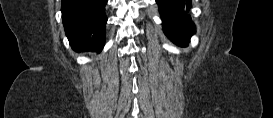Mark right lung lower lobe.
<instances>
[{"instance_id": "1", "label": "right lung lower lobe", "mask_w": 273, "mask_h": 118, "mask_svg": "<svg viewBox=\"0 0 273 118\" xmlns=\"http://www.w3.org/2000/svg\"><path fill=\"white\" fill-rule=\"evenodd\" d=\"M108 0H62L66 36L75 50L101 52L105 44Z\"/></svg>"}]
</instances>
